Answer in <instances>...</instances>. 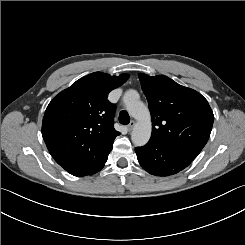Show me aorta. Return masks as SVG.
I'll list each match as a JSON object with an SVG mask.
<instances>
[{"label": "aorta", "mask_w": 245, "mask_h": 245, "mask_svg": "<svg viewBox=\"0 0 245 245\" xmlns=\"http://www.w3.org/2000/svg\"><path fill=\"white\" fill-rule=\"evenodd\" d=\"M123 100L129 114L137 120L131 140L135 146H144L149 141L152 131L149 109L139 100L138 93L134 90L125 92Z\"/></svg>", "instance_id": "1"}]
</instances>
